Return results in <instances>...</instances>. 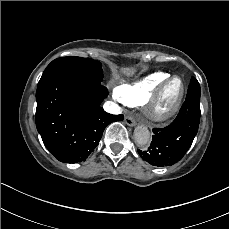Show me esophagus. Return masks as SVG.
Listing matches in <instances>:
<instances>
[{
    "label": "esophagus",
    "instance_id": "esophagus-1",
    "mask_svg": "<svg viewBox=\"0 0 229 229\" xmlns=\"http://www.w3.org/2000/svg\"><path fill=\"white\" fill-rule=\"evenodd\" d=\"M124 121L128 126L133 127L136 125L137 119L135 117H133L132 115H127L125 117Z\"/></svg>",
    "mask_w": 229,
    "mask_h": 229
}]
</instances>
